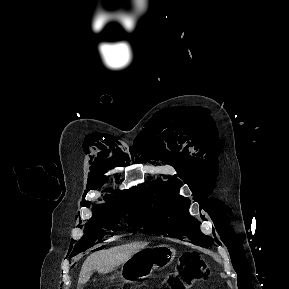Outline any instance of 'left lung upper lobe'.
Returning a JSON list of instances; mask_svg holds the SVG:
<instances>
[{"mask_svg":"<svg viewBox=\"0 0 289 289\" xmlns=\"http://www.w3.org/2000/svg\"><path fill=\"white\" fill-rule=\"evenodd\" d=\"M179 188L180 183L172 178L137 190L143 231L211 246L213 239L200 231L197 219L189 214L190 200L179 195Z\"/></svg>","mask_w":289,"mask_h":289,"instance_id":"5c2ea615","label":"left lung upper lobe"}]
</instances>
